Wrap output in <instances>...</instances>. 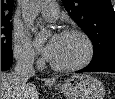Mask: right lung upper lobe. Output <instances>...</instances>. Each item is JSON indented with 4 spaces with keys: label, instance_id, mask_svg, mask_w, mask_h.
Segmentation results:
<instances>
[{
    "label": "right lung upper lobe",
    "instance_id": "cb5924a9",
    "mask_svg": "<svg viewBox=\"0 0 115 99\" xmlns=\"http://www.w3.org/2000/svg\"><path fill=\"white\" fill-rule=\"evenodd\" d=\"M14 0H1V24H11Z\"/></svg>",
    "mask_w": 115,
    "mask_h": 99
}]
</instances>
